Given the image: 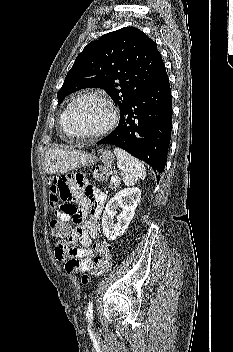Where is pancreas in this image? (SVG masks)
<instances>
[{
	"label": "pancreas",
	"instance_id": "pancreas-1",
	"mask_svg": "<svg viewBox=\"0 0 233 352\" xmlns=\"http://www.w3.org/2000/svg\"><path fill=\"white\" fill-rule=\"evenodd\" d=\"M120 183H121L120 179H116L115 182H110V188L116 189L117 187H119Z\"/></svg>",
	"mask_w": 233,
	"mask_h": 352
}]
</instances>
